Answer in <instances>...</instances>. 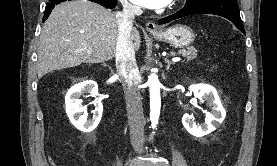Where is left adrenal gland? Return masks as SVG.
I'll return each instance as SVG.
<instances>
[{
    "instance_id": "1",
    "label": "left adrenal gland",
    "mask_w": 277,
    "mask_h": 166,
    "mask_svg": "<svg viewBox=\"0 0 277 166\" xmlns=\"http://www.w3.org/2000/svg\"><path fill=\"white\" fill-rule=\"evenodd\" d=\"M165 63H167L166 70H168L170 68V65L172 64V62L169 61L168 59H165Z\"/></svg>"
}]
</instances>
